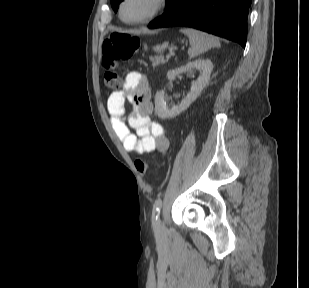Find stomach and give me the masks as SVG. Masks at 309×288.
<instances>
[{"instance_id": "stomach-1", "label": "stomach", "mask_w": 309, "mask_h": 288, "mask_svg": "<svg viewBox=\"0 0 309 288\" xmlns=\"http://www.w3.org/2000/svg\"><path fill=\"white\" fill-rule=\"evenodd\" d=\"M168 46V43H164L162 45H157L156 47H154L155 51L157 52H161L162 50H164L166 47Z\"/></svg>"}]
</instances>
